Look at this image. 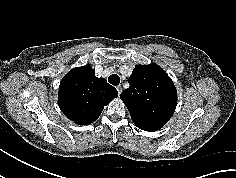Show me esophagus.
<instances>
[{
	"label": "esophagus",
	"mask_w": 236,
	"mask_h": 178,
	"mask_svg": "<svg viewBox=\"0 0 236 178\" xmlns=\"http://www.w3.org/2000/svg\"><path fill=\"white\" fill-rule=\"evenodd\" d=\"M116 89H117V91H118V94L120 95L121 92H122V87L119 85V86L116 87Z\"/></svg>",
	"instance_id": "34e87169"
}]
</instances>
